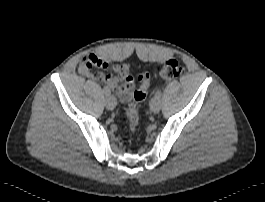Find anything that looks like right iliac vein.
Listing matches in <instances>:
<instances>
[{
	"label": "right iliac vein",
	"instance_id": "obj_1",
	"mask_svg": "<svg viewBox=\"0 0 265 202\" xmlns=\"http://www.w3.org/2000/svg\"><path fill=\"white\" fill-rule=\"evenodd\" d=\"M116 99L114 96H107L106 100H105V105L107 107V109L109 110H113L116 107Z\"/></svg>",
	"mask_w": 265,
	"mask_h": 202
}]
</instances>
